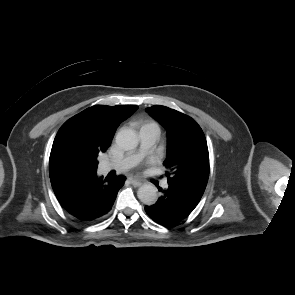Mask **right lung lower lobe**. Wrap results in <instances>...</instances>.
Masks as SVG:
<instances>
[{
	"instance_id": "98d812e1",
	"label": "right lung lower lobe",
	"mask_w": 295,
	"mask_h": 295,
	"mask_svg": "<svg viewBox=\"0 0 295 295\" xmlns=\"http://www.w3.org/2000/svg\"><path fill=\"white\" fill-rule=\"evenodd\" d=\"M51 185L62 207L77 220L90 223L112 208L125 177L103 179L97 173L71 178L52 177Z\"/></svg>"
}]
</instances>
